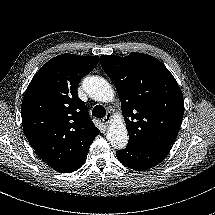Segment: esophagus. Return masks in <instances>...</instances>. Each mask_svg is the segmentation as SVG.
Returning <instances> with one entry per match:
<instances>
[{
  "mask_svg": "<svg viewBox=\"0 0 215 215\" xmlns=\"http://www.w3.org/2000/svg\"><path fill=\"white\" fill-rule=\"evenodd\" d=\"M102 122L104 123V125L108 126L111 124L112 122V114L111 112H108L106 114V116L103 118Z\"/></svg>",
  "mask_w": 215,
  "mask_h": 215,
  "instance_id": "1",
  "label": "esophagus"
}]
</instances>
